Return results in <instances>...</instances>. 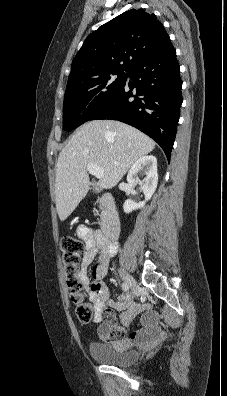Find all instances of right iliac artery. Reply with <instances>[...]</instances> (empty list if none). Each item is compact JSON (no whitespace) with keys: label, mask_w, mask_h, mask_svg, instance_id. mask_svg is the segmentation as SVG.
Here are the masks:
<instances>
[{"label":"right iliac artery","mask_w":227,"mask_h":396,"mask_svg":"<svg viewBox=\"0 0 227 396\" xmlns=\"http://www.w3.org/2000/svg\"><path fill=\"white\" fill-rule=\"evenodd\" d=\"M122 289H123L124 291H128V290H129V285H128L127 283H123V284H122Z\"/></svg>","instance_id":"1"}]
</instances>
